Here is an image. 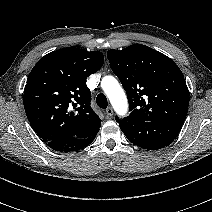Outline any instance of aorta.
<instances>
[{"mask_svg":"<svg viewBox=\"0 0 212 212\" xmlns=\"http://www.w3.org/2000/svg\"><path fill=\"white\" fill-rule=\"evenodd\" d=\"M101 87L117 114L123 116L128 111V101L123 88L113 76L102 78Z\"/></svg>","mask_w":212,"mask_h":212,"instance_id":"1","label":"aorta"}]
</instances>
